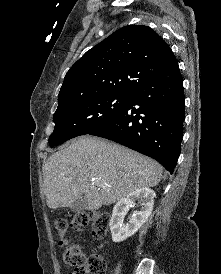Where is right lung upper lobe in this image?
Segmentation results:
<instances>
[{
  "label": "right lung upper lobe",
  "instance_id": "1",
  "mask_svg": "<svg viewBox=\"0 0 221 274\" xmlns=\"http://www.w3.org/2000/svg\"><path fill=\"white\" fill-rule=\"evenodd\" d=\"M177 60L169 45L150 27L120 28L87 51L67 72L58 103L107 95H132Z\"/></svg>",
  "mask_w": 221,
  "mask_h": 274
}]
</instances>
